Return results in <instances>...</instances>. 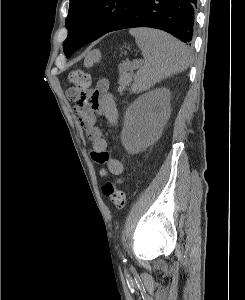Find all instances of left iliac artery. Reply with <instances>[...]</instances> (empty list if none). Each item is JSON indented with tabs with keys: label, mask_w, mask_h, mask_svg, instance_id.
<instances>
[{
	"label": "left iliac artery",
	"mask_w": 245,
	"mask_h": 300,
	"mask_svg": "<svg viewBox=\"0 0 245 300\" xmlns=\"http://www.w3.org/2000/svg\"><path fill=\"white\" fill-rule=\"evenodd\" d=\"M121 257L123 259V262H126V259L124 258V256L121 254Z\"/></svg>",
	"instance_id": "left-iliac-artery-1"
}]
</instances>
